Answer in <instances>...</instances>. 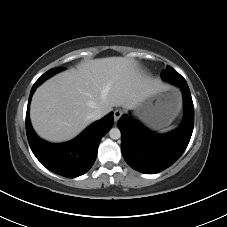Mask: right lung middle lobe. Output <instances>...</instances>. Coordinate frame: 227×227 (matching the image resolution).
I'll use <instances>...</instances> for the list:
<instances>
[{"label": "right lung middle lobe", "instance_id": "1", "mask_svg": "<svg viewBox=\"0 0 227 227\" xmlns=\"http://www.w3.org/2000/svg\"><path fill=\"white\" fill-rule=\"evenodd\" d=\"M63 69H64L63 67L52 68V69L48 70L46 73H44L35 83L41 84L43 81H45L49 77L53 76L54 74L62 71Z\"/></svg>", "mask_w": 227, "mask_h": 227}]
</instances>
